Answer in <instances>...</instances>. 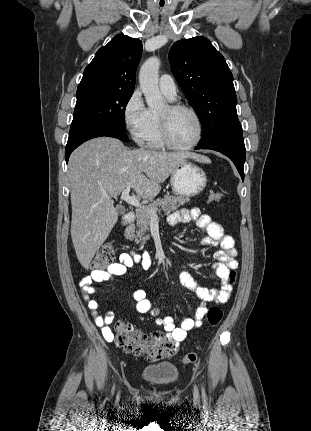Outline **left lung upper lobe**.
Returning a JSON list of instances; mask_svg holds the SVG:
<instances>
[{"instance_id": "left-lung-upper-lobe-1", "label": "left lung upper lobe", "mask_w": 311, "mask_h": 431, "mask_svg": "<svg viewBox=\"0 0 311 431\" xmlns=\"http://www.w3.org/2000/svg\"><path fill=\"white\" fill-rule=\"evenodd\" d=\"M173 75L202 123L199 144L232 129L237 117L233 75L211 42L197 36L175 42L169 51Z\"/></svg>"}]
</instances>
